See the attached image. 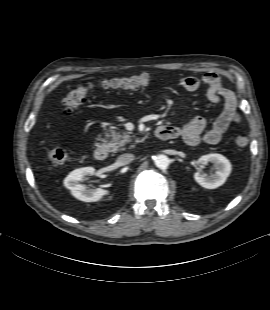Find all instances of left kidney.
Wrapping results in <instances>:
<instances>
[{"label":"left kidney","instance_id":"left-kidney-1","mask_svg":"<svg viewBox=\"0 0 270 310\" xmlns=\"http://www.w3.org/2000/svg\"><path fill=\"white\" fill-rule=\"evenodd\" d=\"M209 162L213 164L216 171L208 176L198 171L194 174V179L206 189H215L225 183L231 173L232 166L226 157L216 153L201 156L197 164L202 166Z\"/></svg>","mask_w":270,"mask_h":310}]
</instances>
